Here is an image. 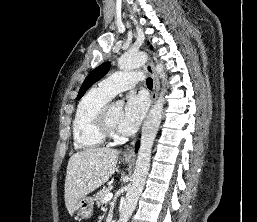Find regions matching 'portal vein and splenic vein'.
I'll use <instances>...</instances> for the list:
<instances>
[{"label": "portal vein and splenic vein", "instance_id": "18ae733b", "mask_svg": "<svg viewBox=\"0 0 257 222\" xmlns=\"http://www.w3.org/2000/svg\"><path fill=\"white\" fill-rule=\"evenodd\" d=\"M113 194L112 193H108L105 197H104V202H108L112 199Z\"/></svg>", "mask_w": 257, "mask_h": 222}]
</instances>
